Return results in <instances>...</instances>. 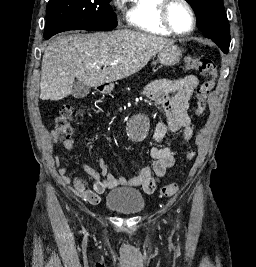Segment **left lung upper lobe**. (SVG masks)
<instances>
[{"mask_svg": "<svg viewBox=\"0 0 256 267\" xmlns=\"http://www.w3.org/2000/svg\"><path fill=\"white\" fill-rule=\"evenodd\" d=\"M195 10L197 26L224 53L230 45L229 23L221 0H186Z\"/></svg>", "mask_w": 256, "mask_h": 267, "instance_id": "5c2ea615", "label": "left lung upper lobe"}]
</instances>
